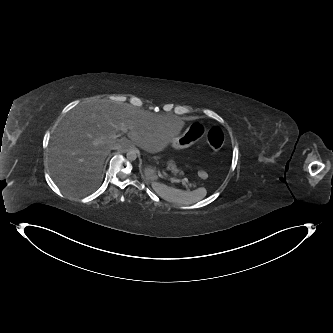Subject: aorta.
<instances>
[{"mask_svg":"<svg viewBox=\"0 0 333 333\" xmlns=\"http://www.w3.org/2000/svg\"><path fill=\"white\" fill-rule=\"evenodd\" d=\"M126 157L129 161H134L137 158V153L135 150H129L126 154Z\"/></svg>","mask_w":333,"mask_h":333,"instance_id":"762f6f07","label":"aorta"}]
</instances>
